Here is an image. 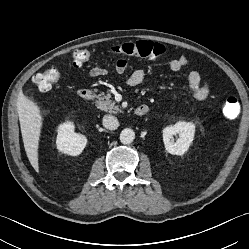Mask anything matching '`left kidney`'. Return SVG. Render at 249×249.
Instances as JSON below:
<instances>
[{"label": "left kidney", "mask_w": 249, "mask_h": 249, "mask_svg": "<svg viewBox=\"0 0 249 249\" xmlns=\"http://www.w3.org/2000/svg\"><path fill=\"white\" fill-rule=\"evenodd\" d=\"M179 138L174 139V135ZM195 125L192 122L180 121L163 129L165 149L173 155H183L194 139Z\"/></svg>", "instance_id": "5707ae66"}]
</instances>
